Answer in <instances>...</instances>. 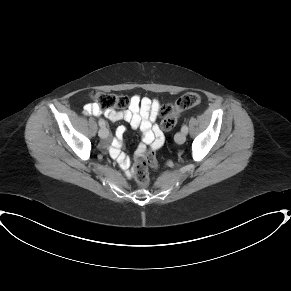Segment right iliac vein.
Instances as JSON below:
<instances>
[{"mask_svg":"<svg viewBox=\"0 0 291 291\" xmlns=\"http://www.w3.org/2000/svg\"><path fill=\"white\" fill-rule=\"evenodd\" d=\"M98 134L101 138H106L109 135V131L103 127L99 130Z\"/></svg>","mask_w":291,"mask_h":291,"instance_id":"1","label":"right iliac vein"}]
</instances>
